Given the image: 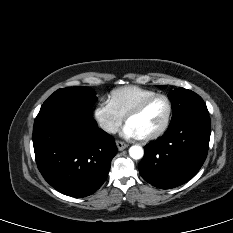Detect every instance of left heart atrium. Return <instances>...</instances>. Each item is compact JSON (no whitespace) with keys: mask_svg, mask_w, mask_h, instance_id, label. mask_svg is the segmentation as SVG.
<instances>
[{"mask_svg":"<svg viewBox=\"0 0 233 233\" xmlns=\"http://www.w3.org/2000/svg\"><path fill=\"white\" fill-rule=\"evenodd\" d=\"M123 134L124 136L126 137H130V138H139V135L138 133L135 131V129L129 125V124H126V126L124 127L123 129Z\"/></svg>","mask_w":233,"mask_h":233,"instance_id":"left-heart-atrium-1","label":"left heart atrium"}]
</instances>
